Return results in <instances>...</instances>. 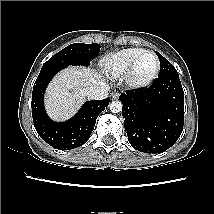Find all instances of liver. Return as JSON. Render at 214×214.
Returning <instances> with one entry per match:
<instances>
[{
	"label": "liver",
	"instance_id": "liver-1",
	"mask_svg": "<svg viewBox=\"0 0 214 214\" xmlns=\"http://www.w3.org/2000/svg\"><path fill=\"white\" fill-rule=\"evenodd\" d=\"M91 68L70 67L62 70L49 84L45 104L49 116L58 121L73 116L85 100V90L102 82Z\"/></svg>",
	"mask_w": 214,
	"mask_h": 214
}]
</instances>
